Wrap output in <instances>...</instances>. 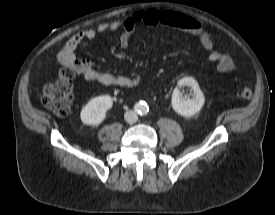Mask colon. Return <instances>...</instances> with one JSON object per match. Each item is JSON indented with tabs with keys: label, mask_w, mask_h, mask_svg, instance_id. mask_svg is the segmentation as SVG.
Segmentation results:
<instances>
[{
	"label": "colon",
	"mask_w": 275,
	"mask_h": 215,
	"mask_svg": "<svg viewBox=\"0 0 275 215\" xmlns=\"http://www.w3.org/2000/svg\"><path fill=\"white\" fill-rule=\"evenodd\" d=\"M73 79V72L69 68L64 67L60 70L57 81L48 83L43 87V105L58 116H67L71 111L73 102ZM236 94L238 98L248 100L252 97V90L244 86L239 88Z\"/></svg>",
	"instance_id": "5ec220e1"
}]
</instances>
